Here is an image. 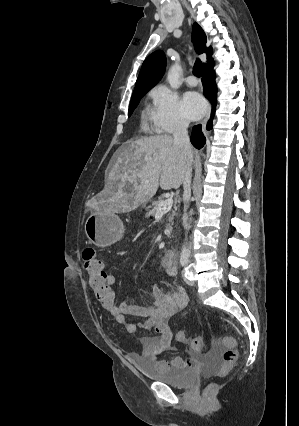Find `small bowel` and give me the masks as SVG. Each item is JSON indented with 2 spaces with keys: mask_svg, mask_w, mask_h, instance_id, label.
<instances>
[{
  "mask_svg": "<svg viewBox=\"0 0 299 426\" xmlns=\"http://www.w3.org/2000/svg\"><path fill=\"white\" fill-rule=\"evenodd\" d=\"M163 267L169 276H175L177 268L175 263L167 264L163 261ZM106 280L114 286L116 278L106 272ZM153 301L145 303L121 302L114 304L106 310L123 324L130 334L142 331H154L156 336H142L139 339L140 353H131L129 358L133 362L144 359L150 361L154 367L164 369L170 366L194 368L199 361L197 351L189 350V357H175L170 362L160 358L161 354L172 349L173 333L169 326V320L181 311L188 302L184 290L180 287L164 291L158 285L153 286ZM138 317L142 320H129L128 317Z\"/></svg>",
  "mask_w": 299,
  "mask_h": 426,
  "instance_id": "c3829d8e",
  "label": "small bowel"
}]
</instances>
